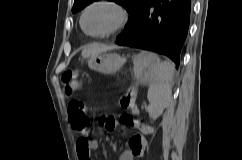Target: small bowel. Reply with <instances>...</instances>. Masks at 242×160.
<instances>
[{
    "mask_svg": "<svg viewBox=\"0 0 242 160\" xmlns=\"http://www.w3.org/2000/svg\"><path fill=\"white\" fill-rule=\"evenodd\" d=\"M68 114L72 126L79 131H85V128L75 126L69 110ZM101 125L106 131L118 130L120 132H125L128 126L126 124L118 122L112 116L104 117L101 120ZM133 126H135L144 133L148 131V127L138 121H136ZM125 145L126 149L120 155L119 160H135L136 158H140L144 155L146 148V139L142 133H132L127 138ZM97 147L98 143L95 139H90L86 136L79 138L76 145L79 160H91V151L96 149Z\"/></svg>",
    "mask_w": 242,
    "mask_h": 160,
    "instance_id": "small-bowel-1",
    "label": "small bowel"
}]
</instances>
